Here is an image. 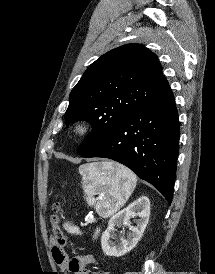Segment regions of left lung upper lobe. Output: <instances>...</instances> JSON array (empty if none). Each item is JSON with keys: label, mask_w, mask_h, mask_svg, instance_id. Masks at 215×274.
<instances>
[{"label": "left lung upper lobe", "mask_w": 215, "mask_h": 274, "mask_svg": "<svg viewBox=\"0 0 215 274\" xmlns=\"http://www.w3.org/2000/svg\"><path fill=\"white\" fill-rule=\"evenodd\" d=\"M168 86L157 56L141 44H126L102 55L88 67L69 97L66 125L87 120L93 126L78 154L100 143L126 116Z\"/></svg>", "instance_id": "1"}]
</instances>
